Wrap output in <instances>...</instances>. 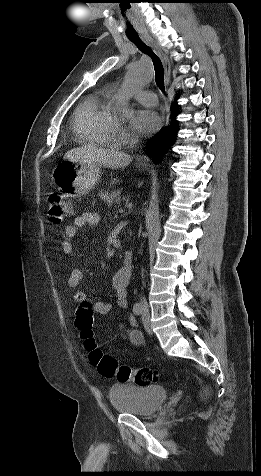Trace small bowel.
<instances>
[{
    "instance_id": "obj_1",
    "label": "small bowel",
    "mask_w": 261,
    "mask_h": 476,
    "mask_svg": "<svg viewBox=\"0 0 261 476\" xmlns=\"http://www.w3.org/2000/svg\"><path fill=\"white\" fill-rule=\"evenodd\" d=\"M99 223L100 216L97 213L85 212L78 216L72 225H68L65 228L63 239L61 241V250L65 254H71L73 252L72 240L76 236L78 230L83 227L95 228ZM129 277L130 276L127 275L122 268L118 270L112 278L111 288L115 295L116 305L120 309H126L128 307L127 284ZM82 278V271L80 269H73L68 276L67 284L71 288H77L80 285ZM74 299L81 304H91L93 309L101 315H107L112 310V304L103 301H93L81 291L74 294ZM119 334L124 340L129 341L136 346H141L143 344V336L140 331L136 329V321L129 315L126 317V322L120 325Z\"/></svg>"
}]
</instances>
